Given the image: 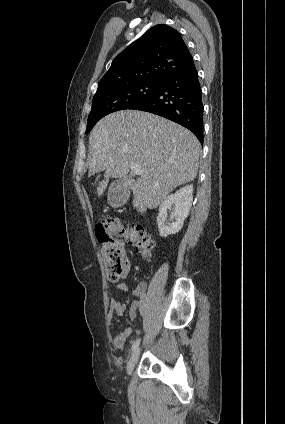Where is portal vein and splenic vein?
<instances>
[{
    "label": "portal vein and splenic vein",
    "instance_id": "obj_1",
    "mask_svg": "<svg viewBox=\"0 0 285 424\" xmlns=\"http://www.w3.org/2000/svg\"><path fill=\"white\" fill-rule=\"evenodd\" d=\"M131 172H133L136 175H142L143 174L142 168L139 165H136V164L131 165Z\"/></svg>",
    "mask_w": 285,
    "mask_h": 424
}]
</instances>
